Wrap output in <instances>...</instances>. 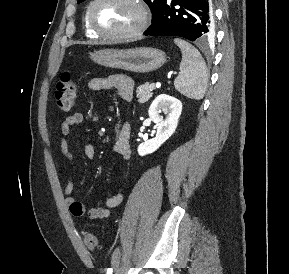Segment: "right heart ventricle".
I'll list each match as a JSON object with an SVG mask.
<instances>
[{
    "instance_id": "e07e8e85",
    "label": "right heart ventricle",
    "mask_w": 289,
    "mask_h": 274,
    "mask_svg": "<svg viewBox=\"0 0 289 274\" xmlns=\"http://www.w3.org/2000/svg\"><path fill=\"white\" fill-rule=\"evenodd\" d=\"M83 26H84L85 33H86L89 37L95 38V37L98 36V35L95 34V33L91 30V28L89 27L88 22H87V18H86V13H85L84 18H83Z\"/></svg>"
}]
</instances>
